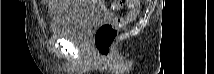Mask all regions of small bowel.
Listing matches in <instances>:
<instances>
[{"instance_id": "obj_1", "label": "small bowel", "mask_w": 214, "mask_h": 74, "mask_svg": "<svg viewBox=\"0 0 214 74\" xmlns=\"http://www.w3.org/2000/svg\"><path fill=\"white\" fill-rule=\"evenodd\" d=\"M41 5L43 6L46 14L49 17H53V14L59 10H64L72 5L71 1H41Z\"/></svg>"}]
</instances>
